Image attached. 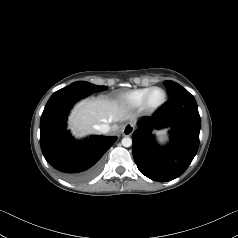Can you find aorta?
I'll list each match as a JSON object with an SVG mask.
<instances>
[{
    "mask_svg": "<svg viewBox=\"0 0 238 238\" xmlns=\"http://www.w3.org/2000/svg\"><path fill=\"white\" fill-rule=\"evenodd\" d=\"M121 142L124 147H130L132 145V139L130 137H124Z\"/></svg>",
    "mask_w": 238,
    "mask_h": 238,
    "instance_id": "1",
    "label": "aorta"
}]
</instances>
